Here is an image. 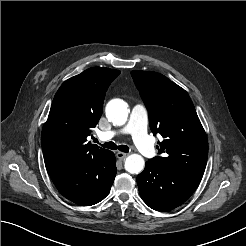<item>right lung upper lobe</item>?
<instances>
[{
	"label": "right lung upper lobe",
	"mask_w": 246,
	"mask_h": 246,
	"mask_svg": "<svg viewBox=\"0 0 246 246\" xmlns=\"http://www.w3.org/2000/svg\"><path fill=\"white\" fill-rule=\"evenodd\" d=\"M119 74V70L93 67L58 89L41 136L48 173L110 152L86 141L102 115L105 92Z\"/></svg>",
	"instance_id": "cb5924a9"
}]
</instances>
